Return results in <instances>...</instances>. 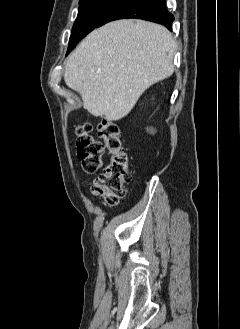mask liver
<instances>
[{
  "mask_svg": "<svg viewBox=\"0 0 240 329\" xmlns=\"http://www.w3.org/2000/svg\"><path fill=\"white\" fill-rule=\"evenodd\" d=\"M175 51L176 41L159 24L114 21L83 39L66 61L64 80L90 114L117 121L150 86L172 75Z\"/></svg>",
  "mask_w": 240,
  "mask_h": 329,
  "instance_id": "6515ba94",
  "label": "liver"
}]
</instances>
